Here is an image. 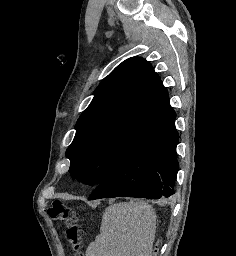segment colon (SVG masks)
Wrapping results in <instances>:
<instances>
[{"instance_id":"obj_1","label":"colon","mask_w":236,"mask_h":256,"mask_svg":"<svg viewBox=\"0 0 236 256\" xmlns=\"http://www.w3.org/2000/svg\"><path fill=\"white\" fill-rule=\"evenodd\" d=\"M48 216L57 222L66 224L65 238L70 243L74 256H84L82 250L81 231L78 225L77 212L62 200H53L47 209Z\"/></svg>"}]
</instances>
